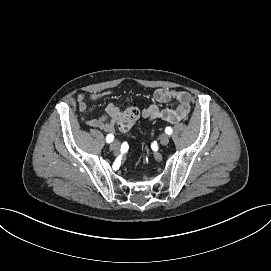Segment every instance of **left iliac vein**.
I'll list each match as a JSON object with an SVG mask.
<instances>
[{"label": "left iliac vein", "instance_id": "4c4485c4", "mask_svg": "<svg viewBox=\"0 0 271 271\" xmlns=\"http://www.w3.org/2000/svg\"><path fill=\"white\" fill-rule=\"evenodd\" d=\"M159 141L162 145L166 146L169 143V137L166 134H163L159 137Z\"/></svg>", "mask_w": 271, "mask_h": 271}]
</instances>
